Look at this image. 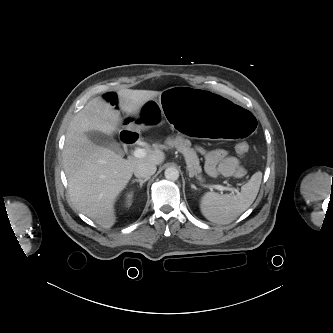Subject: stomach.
<instances>
[{
	"instance_id": "1",
	"label": "stomach",
	"mask_w": 333,
	"mask_h": 333,
	"mask_svg": "<svg viewBox=\"0 0 333 333\" xmlns=\"http://www.w3.org/2000/svg\"><path fill=\"white\" fill-rule=\"evenodd\" d=\"M168 121L191 137L240 143L254 133L252 110L241 103H229L219 95L189 86L172 87L144 99L141 109L124 118L126 129L139 133L150 124Z\"/></svg>"
}]
</instances>
